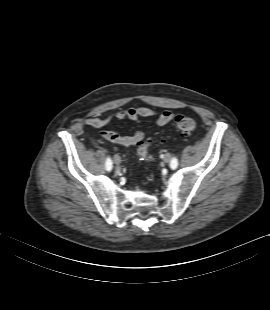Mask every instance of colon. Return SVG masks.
<instances>
[{
    "instance_id": "1",
    "label": "colon",
    "mask_w": 270,
    "mask_h": 310,
    "mask_svg": "<svg viewBox=\"0 0 270 310\" xmlns=\"http://www.w3.org/2000/svg\"><path fill=\"white\" fill-rule=\"evenodd\" d=\"M175 125L184 134H190L196 129V122L194 119L178 115L175 117ZM154 140L149 139L140 141L137 144V157L140 162L146 163L150 160L149 149L153 145Z\"/></svg>"
}]
</instances>
